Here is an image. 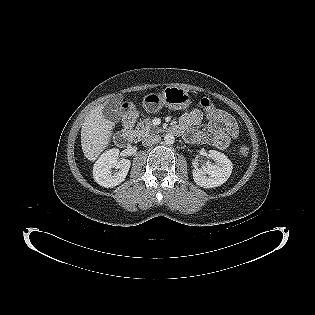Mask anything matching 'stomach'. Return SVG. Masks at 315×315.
<instances>
[{
  "instance_id": "stomach-1",
  "label": "stomach",
  "mask_w": 315,
  "mask_h": 315,
  "mask_svg": "<svg viewBox=\"0 0 315 315\" xmlns=\"http://www.w3.org/2000/svg\"><path fill=\"white\" fill-rule=\"evenodd\" d=\"M191 103V98L187 90L168 86L161 94H150L145 100V108L149 112L158 111L162 106L174 110L186 109ZM119 113L122 118L131 120L136 117L138 108L135 103L126 101L121 104Z\"/></svg>"
}]
</instances>
